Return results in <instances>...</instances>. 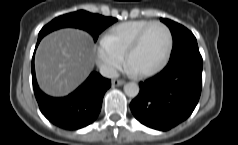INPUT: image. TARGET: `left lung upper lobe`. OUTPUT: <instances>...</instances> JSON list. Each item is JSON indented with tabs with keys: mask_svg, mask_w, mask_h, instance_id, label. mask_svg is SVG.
Segmentation results:
<instances>
[{
	"mask_svg": "<svg viewBox=\"0 0 238 145\" xmlns=\"http://www.w3.org/2000/svg\"><path fill=\"white\" fill-rule=\"evenodd\" d=\"M160 20L169 27L173 36V48L170 59L184 51L198 49L196 38L191 31L172 20L164 18H160Z\"/></svg>",
	"mask_w": 238,
	"mask_h": 145,
	"instance_id": "5c2ea615",
	"label": "left lung upper lobe"
}]
</instances>
